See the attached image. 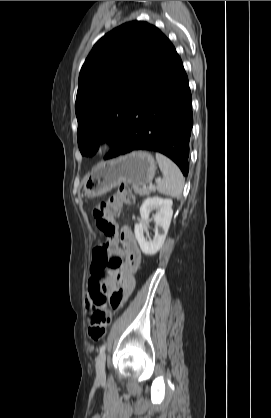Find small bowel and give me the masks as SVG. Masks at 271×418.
I'll use <instances>...</instances> for the list:
<instances>
[{
    "mask_svg": "<svg viewBox=\"0 0 271 418\" xmlns=\"http://www.w3.org/2000/svg\"><path fill=\"white\" fill-rule=\"evenodd\" d=\"M122 255L124 262L116 273L105 280L101 281L102 290L110 297V304L114 309L123 305V303L131 296L135 288L134 274L138 270L141 263V252L138 244L128 229H124L121 234ZM95 282L92 277L89 280L87 300V308L89 309L94 301ZM119 299L116 305L114 301Z\"/></svg>",
    "mask_w": 271,
    "mask_h": 418,
    "instance_id": "1",
    "label": "small bowel"
}]
</instances>
